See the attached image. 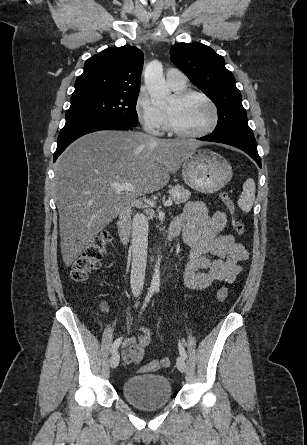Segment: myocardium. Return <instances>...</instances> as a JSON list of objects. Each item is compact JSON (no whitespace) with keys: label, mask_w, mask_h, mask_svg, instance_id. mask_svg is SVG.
<instances>
[{"label":"myocardium","mask_w":307,"mask_h":445,"mask_svg":"<svg viewBox=\"0 0 307 445\" xmlns=\"http://www.w3.org/2000/svg\"><path fill=\"white\" fill-rule=\"evenodd\" d=\"M174 96L180 101H184V100H187V99H190L193 97L200 98L201 100L206 102L211 107L212 112H213V121L208 128H206L200 132L190 133V132H186V131H183L180 128H178L172 122V120L168 116V114H166L164 112L167 130L170 133L177 136V137H168L166 139H203L204 137L210 135L211 133H213L214 131L217 130V128L219 127L220 122H221V112H220L218 105L212 98H210L208 95H206L202 92L196 91V90H181V91L175 93Z\"/></svg>","instance_id":"myocardium-1"}]
</instances>
